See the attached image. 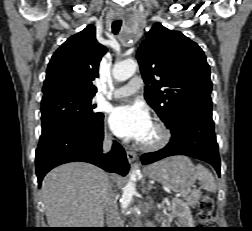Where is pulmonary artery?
Listing matches in <instances>:
<instances>
[{
  "label": "pulmonary artery",
  "mask_w": 252,
  "mask_h": 231,
  "mask_svg": "<svg viewBox=\"0 0 252 231\" xmlns=\"http://www.w3.org/2000/svg\"><path fill=\"white\" fill-rule=\"evenodd\" d=\"M143 85V81L140 77L131 78L127 84L117 88L112 96L114 99L130 96L136 93Z\"/></svg>",
  "instance_id": "pulmonary-artery-1"
}]
</instances>
